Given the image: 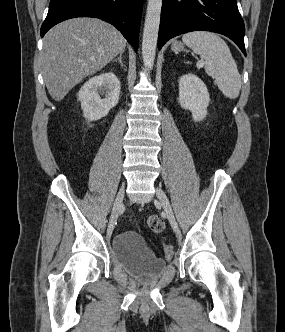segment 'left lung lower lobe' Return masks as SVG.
<instances>
[{"instance_id": "1", "label": "left lung lower lobe", "mask_w": 285, "mask_h": 332, "mask_svg": "<svg viewBox=\"0 0 285 332\" xmlns=\"http://www.w3.org/2000/svg\"><path fill=\"white\" fill-rule=\"evenodd\" d=\"M199 30L229 37L246 56L245 26L236 0H163L159 49L172 37Z\"/></svg>"}]
</instances>
